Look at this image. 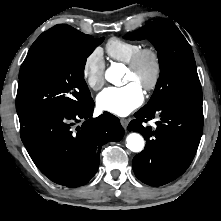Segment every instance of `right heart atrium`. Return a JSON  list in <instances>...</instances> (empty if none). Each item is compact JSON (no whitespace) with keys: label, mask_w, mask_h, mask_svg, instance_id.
<instances>
[{"label":"right heart atrium","mask_w":221,"mask_h":221,"mask_svg":"<svg viewBox=\"0 0 221 221\" xmlns=\"http://www.w3.org/2000/svg\"><path fill=\"white\" fill-rule=\"evenodd\" d=\"M105 60L100 48H94L82 64V76L87 86L99 90L105 82Z\"/></svg>","instance_id":"1"}]
</instances>
